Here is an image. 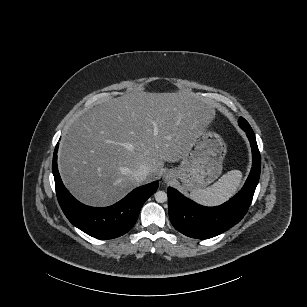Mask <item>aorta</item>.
I'll use <instances>...</instances> for the list:
<instances>
[{
	"instance_id": "aorta-1",
	"label": "aorta",
	"mask_w": 307,
	"mask_h": 307,
	"mask_svg": "<svg viewBox=\"0 0 307 307\" xmlns=\"http://www.w3.org/2000/svg\"><path fill=\"white\" fill-rule=\"evenodd\" d=\"M155 200L158 203H163L167 200V194L164 191H157L155 194Z\"/></svg>"
}]
</instances>
